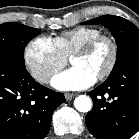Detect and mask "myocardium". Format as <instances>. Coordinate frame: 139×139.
<instances>
[{"label":"myocardium","mask_w":139,"mask_h":139,"mask_svg":"<svg viewBox=\"0 0 139 139\" xmlns=\"http://www.w3.org/2000/svg\"><path fill=\"white\" fill-rule=\"evenodd\" d=\"M102 42H107L109 44L110 49H111V55H110V60L106 68L97 77V80L99 81H103L106 78H108L116 67L118 56H119V49H118V45L115 39L105 34L98 35L90 39L89 41L81 45L80 47H78L72 54V57H74L76 55H83V54L90 53Z\"/></svg>","instance_id":"obj_1"}]
</instances>
